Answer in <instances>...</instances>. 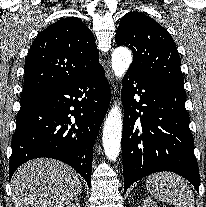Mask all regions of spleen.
I'll use <instances>...</instances> for the list:
<instances>
[{
  "label": "spleen",
  "instance_id": "obj_1",
  "mask_svg": "<svg viewBox=\"0 0 206 207\" xmlns=\"http://www.w3.org/2000/svg\"><path fill=\"white\" fill-rule=\"evenodd\" d=\"M146 186L150 194L162 202L176 207H194V195L188 182L176 174H152L147 178Z\"/></svg>",
  "mask_w": 206,
  "mask_h": 207
}]
</instances>
